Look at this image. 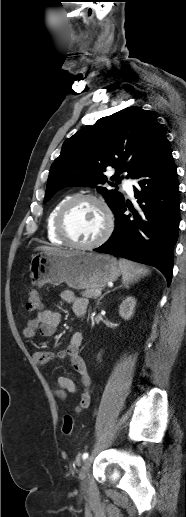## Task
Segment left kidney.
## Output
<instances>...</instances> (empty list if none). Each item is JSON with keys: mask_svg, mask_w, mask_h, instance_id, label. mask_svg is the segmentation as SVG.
I'll list each match as a JSON object with an SVG mask.
<instances>
[{"mask_svg": "<svg viewBox=\"0 0 186 517\" xmlns=\"http://www.w3.org/2000/svg\"><path fill=\"white\" fill-rule=\"evenodd\" d=\"M136 306V299L135 297H127L125 300L122 301L121 305L119 306V315L125 319L129 320L132 315L134 314V309Z\"/></svg>", "mask_w": 186, "mask_h": 517, "instance_id": "obj_1", "label": "left kidney"}]
</instances>
